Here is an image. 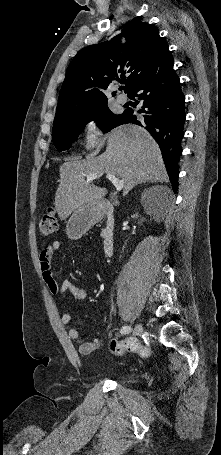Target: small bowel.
I'll return each mask as SVG.
<instances>
[{"label": "small bowel", "mask_w": 221, "mask_h": 455, "mask_svg": "<svg viewBox=\"0 0 221 455\" xmlns=\"http://www.w3.org/2000/svg\"><path fill=\"white\" fill-rule=\"evenodd\" d=\"M60 249V242L54 241L45 247L39 256V268L42 274V279L49 290V292L55 297H62L65 293L69 292L75 299L82 300L88 297V291L80 289L75 286L72 282L64 280L58 283L54 277L53 272V259L57 255ZM61 321L64 325H68L71 321V315L67 312L61 316ZM69 337L79 343V351L82 354H90L97 350L101 343L100 341L83 342L79 331L75 328L68 330Z\"/></svg>", "instance_id": "c3829d8e"}]
</instances>
